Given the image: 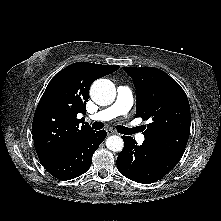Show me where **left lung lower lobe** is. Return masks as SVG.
<instances>
[{"label":"left lung lower lobe","instance_id":"left-lung-lower-lobe-1","mask_svg":"<svg viewBox=\"0 0 221 221\" xmlns=\"http://www.w3.org/2000/svg\"><path fill=\"white\" fill-rule=\"evenodd\" d=\"M124 148L117 158V168L125 177L143 184L158 181L179 160L146 142L138 146L130 136H123Z\"/></svg>","mask_w":221,"mask_h":221}]
</instances>
